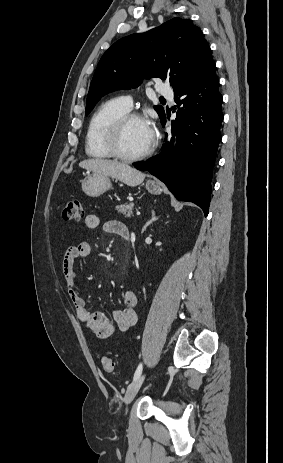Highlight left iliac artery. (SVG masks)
<instances>
[{
	"instance_id": "obj_1",
	"label": "left iliac artery",
	"mask_w": 283,
	"mask_h": 463,
	"mask_svg": "<svg viewBox=\"0 0 283 463\" xmlns=\"http://www.w3.org/2000/svg\"><path fill=\"white\" fill-rule=\"evenodd\" d=\"M141 372H142V364H139L134 374V380H136L141 375Z\"/></svg>"
}]
</instances>
